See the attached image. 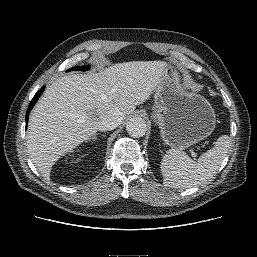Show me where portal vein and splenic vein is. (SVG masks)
<instances>
[{
    "instance_id": "18ae733b",
    "label": "portal vein and splenic vein",
    "mask_w": 257,
    "mask_h": 257,
    "mask_svg": "<svg viewBox=\"0 0 257 257\" xmlns=\"http://www.w3.org/2000/svg\"><path fill=\"white\" fill-rule=\"evenodd\" d=\"M192 157H196V153L194 151H191Z\"/></svg>"
}]
</instances>
